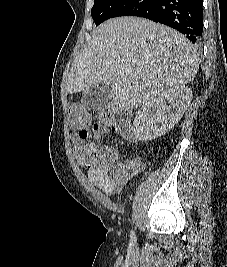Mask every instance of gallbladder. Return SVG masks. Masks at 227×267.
<instances>
[{
  "instance_id": "1",
  "label": "gallbladder",
  "mask_w": 227,
  "mask_h": 267,
  "mask_svg": "<svg viewBox=\"0 0 227 267\" xmlns=\"http://www.w3.org/2000/svg\"><path fill=\"white\" fill-rule=\"evenodd\" d=\"M110 95L111 86L101 83L85 90L81 97V103L88 110H100L107 104Z\"/></svg>"
}]
</instances>
